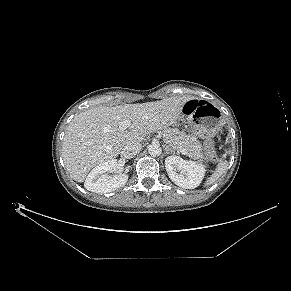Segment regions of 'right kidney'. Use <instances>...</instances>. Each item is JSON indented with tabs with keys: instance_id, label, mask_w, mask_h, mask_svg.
Returning <instances> with one entry per match:
<instances>
[{
	"instance_id": "right-kidney-1",
	"label": "right kidney",
	"mask_w": 291,
	"mask_h": 291,
	"mask_svg": "<svg viewBox=\"0 0 291 291\" xmlns=\"http://www.w3.org/2000/svg\"><path fill=\"white\" fill-rule=\"evenodd\" d=\"M118 169L119 164L115 159L97 165L88 174L84 183L85 188L95 193H109L124 186L128 181L127 174L108 175L116 173Z\"/></svg>"
}]
</instances>
